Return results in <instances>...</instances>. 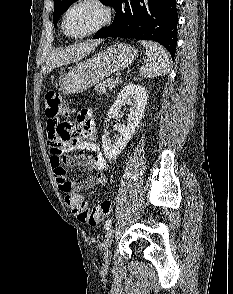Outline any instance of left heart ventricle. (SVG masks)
I'll use <instances>...</instances> for the list:
<instances>
[{"mask_svg":"<svg viewBox=\"0 0 233 294\" xmlns=\"http://www.w3.org/2000/svg\"><path fill=\"white\" fill-rule=\"evenodd\" d=\"M102 13L99 8L91 4H83L74 8L67 17L66 30L73 35L83 34L95 27Z\"/></svg>","mask_w":233,"mask_h":294,"instance_id":"1","label":"left heart ventricle"}]
</instances>
